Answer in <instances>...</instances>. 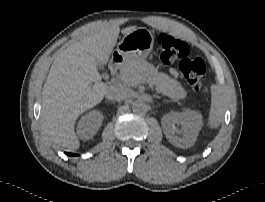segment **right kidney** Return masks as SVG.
<instances>
[{"instance_id": "ca27d5eb", "label": "right kidney", "mask_w": 265, "mask_h": 202, "mask_svg": "<svg viewBox=\"0 0 265 202\" xmlns=\"http://www.w3.org/2000/svg\"><path fill=\"white\" fill-rule=\"evenodd\" d=\"M103 121L100 111L93 110L81 117L78 122L77 133L83 140L92 139L98 132Z\"/></svg>"}]
</instances>
